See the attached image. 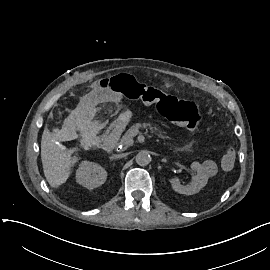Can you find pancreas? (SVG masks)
<instances>
[{"mask_svg":"<svg viewBox=\"0 0 270 270\" xmlns=\"http://www.w3.org/2000/svg\"><path fill=\"white\" fill-rule=\"evenodd\" d=\"M147 127H149L151 129V132L152 133H155L156 131L159 132V129H157L156 127H152L151 124H149V123H137V124H134L131 127L130 130H128V132L125 134L124 137L125 138H132L134 136V131L135 130H139L140 128H144L145 129ZM159 137L163 139V145L164 146H168L169 145V142H167L165 140V137L163 135L160 134Z\"/></svg>","mask_w":270,"mask_h":270,"instance_id":"1","label":"pancreas"}]
</instances>
